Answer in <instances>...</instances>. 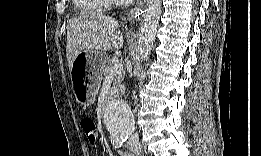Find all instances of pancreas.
Masks as SVG:
<instances>
[{
    "mask_svg": "<svg viewBox=\"0 0 261 156\" xmlns=\"http://www.w3.org/2000/svg\"><path fill=\"white\" fill-rule=\"evenodd\" d=\"M119 62L118 57H113L112 59H108L105 65L101 69V74L104 76L109 75L111 68ZM124 73L118 74L114 76V92L117 93L121 88V82L124 80Z\"/></svg>",
    "mask_w": 261,
    "mask_h": 156,
    "instance_id": "1",
    "label": "pancreas"
}]
</instances>
